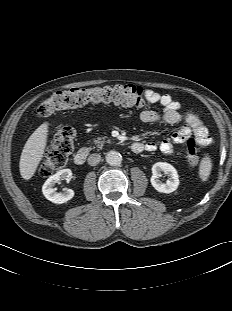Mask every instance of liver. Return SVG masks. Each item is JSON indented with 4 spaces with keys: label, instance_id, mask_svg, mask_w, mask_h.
Returning a JSON list of instances; mask_svg holds the SVG:
<instances>
[{
    "label": "liver",
    "instance_id": "liver-1",
    "mask_svg": "<svg viewBox=\"0 0 232 311\" xmlns=\"http://www.w3.org/2000/svg\"><path fill=\"white\" fill-rule=\"evenodd\" d=\"M49 123L41 124L28 138L21 153L19 170L23 179L29 180L35 174L43 158L47 144Z\"/></svg>",
    "mask_w": 232,
    "mask_h": 311
}]
</instances>
